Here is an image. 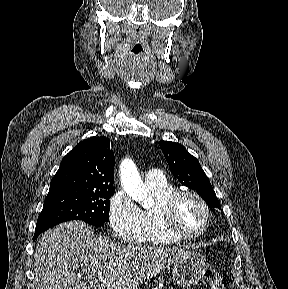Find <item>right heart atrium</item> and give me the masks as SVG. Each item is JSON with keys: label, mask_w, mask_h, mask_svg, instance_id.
Returning a JSON list of instances; mask_svg holds the SVG:
<instances>
[{"label": "right heart atrium", "mask_w": 288, "mask_h": 289, "mask_svg": "<svg viewBox=\"0 0 288 289\" xmlns=\"http://www.w3.org/2000/svg\"><path fill=\"white\" fill-rule=\"evenodd\" d=\"M108 218L117 239L127 243H139L144 234L143 211L125 191L119 190L109 200Z\"/></svg>", "instance_id": "d8ad5b80"}]
</instances>
